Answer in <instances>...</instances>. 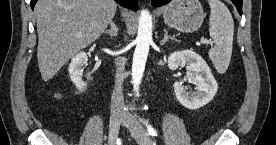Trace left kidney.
<instances>
[{"mask_svg":"<svg viewBox=\"0 0 276 145\" xmlns=\"http://www.w3.org/2000/svg\"><path fill=\"white\" fill-rule=\"evenodd\" d=\"M186 67V75L190 83L196 85V92L189 93L180 82H174L176 98L184 107L196 110L209 103L218 90V84L205 60L192 50L176 51L168 57L170 70Z\"/></svg>","mask_w":276,"mask_h":145,"instance_id":"1","label":"left kidney"}]
</instances>
